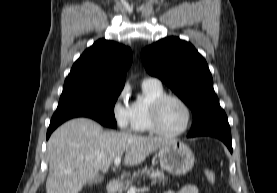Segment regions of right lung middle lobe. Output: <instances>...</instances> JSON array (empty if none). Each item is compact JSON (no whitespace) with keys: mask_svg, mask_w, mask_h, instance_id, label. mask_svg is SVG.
Masks as SVG:
<instances>
[{"mask_svg":"<svg viewBox=\"0 0 277 193\" xmlns=\"http://www.w3.org/2000/svg\"><path fill=\"white\" fill-rule=\"evenodd\" d=\"M121 90L87 87L64 89L54 114H75L116 128L114 105Z\"/></svg>","mask_w":277,"mask_h":193,"instance_id":"dd1d6c3e","label":"right lung middle lobe"}]
</instances>
